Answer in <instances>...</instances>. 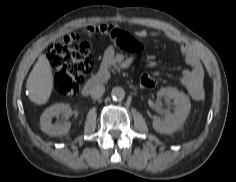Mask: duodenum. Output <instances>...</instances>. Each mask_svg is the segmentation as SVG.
I'll use <instances>...</instances> for the list:
<instances>
[{"label":"duodenum","instance_id":"1","mask_svg":"<svg viewBox=\"0 0 236 182\" xmlns=\"http://www.w3.org/2000/svg\"><path fill=\"white\" fill-rule=\"evenodd\" d=\"M108 80V73L103 70L100 74L92 76L83 86L82 94L88 96L99 84Z\"/></svg>","mask_w":236,"mask_h":182}]
</instances>
